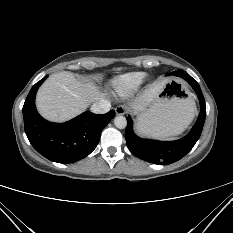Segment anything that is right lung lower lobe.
Listing matches in <instances>:
<instances>
[{
	"label": "right lung lower lobe",
	"mask_w": 233,
	"mask_h": 233,
	"mask_svg": "<svg viewBox=\"0 0 233 233\" xmlns=\"http://www.w3.org/2000/svg\"><path fill=\"white\" fill-rule=\"evenodd\" d=\"M47 77L32 87L25 100V133L31 145L47 159L63 164L76 162L96 148L101 131L115 116V111L102 115L87 111L65 123L48 122L35 107L36 92Z\"/></svg>",
	"instance_id": "1"
}]
</instances>
